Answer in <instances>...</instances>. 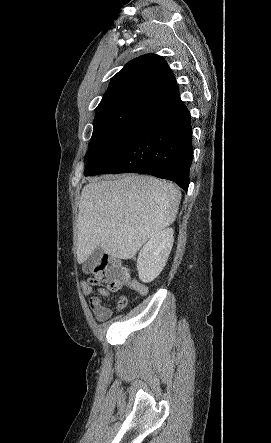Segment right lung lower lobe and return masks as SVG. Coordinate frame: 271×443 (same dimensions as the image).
Wrapping results in <instances>:
<instances>
[{
    "label": "right lung lower lobe",
    "mask_w": 271,
    "mask_h": 443,
    "mask_svg": "<svg viewBox=\"0 0 271 443\" xmlns=\"http://www.w3.org/2000/svg\"><path fill=\"white\" fill-rule=\"evenodd\" d=\"M192 153L190 113L177 95L144 112L108 162L91 175L149 174L171 180L187 191Z\"/></svg>",
    "instance_id": "obj_1"
}]
</instances>
